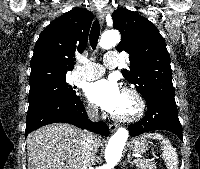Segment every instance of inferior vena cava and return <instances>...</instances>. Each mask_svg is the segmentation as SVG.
I'll use <instances>...</instances> for the list:
<instances>
[{
	"label": "inferior vena cava",
	"instance_id": "602c4592",
	"mask_svg": "<svg viewBox=\"0 0 200 169\" xmlns=\"http://www.w3.org/2000/svg\"><path fill=\"white\" fill-rule=\"evenodd\" d=\"M88 117L92 121H98V108L96 106H88L87 107ZM81 157L79 169H91V166L94 165L95 162V146L92 135L89 132H85L83 134V138L81 141Z\"/></svg>",
	"mask_w": 200,
	"mask_h": 169
}]
</instances>
